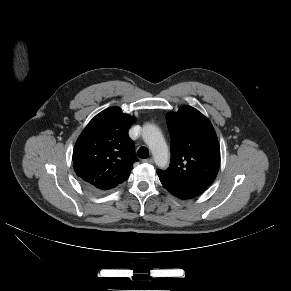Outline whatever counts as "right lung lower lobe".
<instances>
[{
  "label": "right lung lower lobe",
  "instance_id": "1",
  "mask_svg": "<svg viewBox=\"0 0 291 291\" xmlns=\"http://www.w3.org/2000/svg\"><path fill=\"white\" fill-rule=\"evenodd\" d=\"M83 183H84V185H85L87 188H89L90 190L98 191V190H96L94 187H92L91 185H89V184H87V183H85V182H83Z\"/></svg>",
  "mask_w": 291,
  "mask_h": 291
}]
</instances>
